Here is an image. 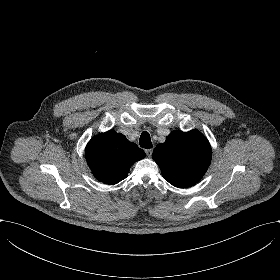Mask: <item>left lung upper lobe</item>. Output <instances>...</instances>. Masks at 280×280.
<instances>
[{"mask_svg":"<svg viewBox=\"0 0 280 280\" xmlns=\"http://www.w3.org/2000/svg\"><path fill=\"white\" fill-rule=\"evenodd\" d=\"M211 147L199 131H172L158 144L152 157L162 176L173 186L184 188L197 183L211 162Z\"/></svg>","mask_w":280,"mask_h":280,"instance_id":"obj_1","label":"left lung upper lobe"}]
</instances>
